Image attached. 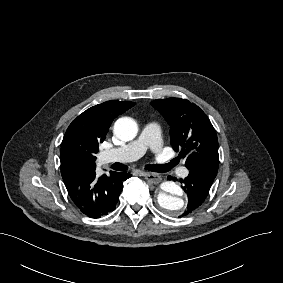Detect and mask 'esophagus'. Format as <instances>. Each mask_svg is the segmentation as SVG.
I'll return each instance as SVG.
<instances>
[{
	"mask_svg": "<svg viewBox=\"0 0 283 283\" xmlns=\"http://www.w3.org/2000/svg\"><path fill=\"white\" fill-rule=\"evenodd\" d=\"M139 175L145 177V179L152 184H158L162 180L161 176L157 173H149V172L141 171L139 172Z\"/></svg>",
	"mask_w": 283,
	"mask_h": 283,
	"instance_id": "34e87169",
	"label": "esophagus"
}]
</instances>
